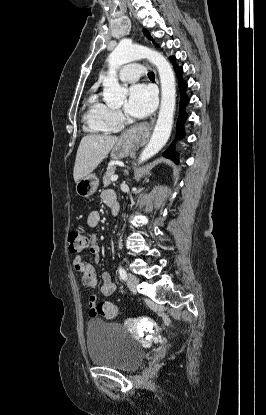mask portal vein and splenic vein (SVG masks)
<instances>
[{
	"mask_svg": "<svg viewBox=\"0 0 266 415\" xmlns=\"http://www.w3.org/2000/svg\"><path fill=\"white\" fill-rule=\"evenodd\" d=\"M117 179H118V175H113V176L111 177V181H112V182L116 181Z\"/></svg>",
	"mask_w": 266,
	"mask_h": 415,
	"instance_id": "18ae733b",
	"label": "portal vein and splenic vein"
}]
</instances>
